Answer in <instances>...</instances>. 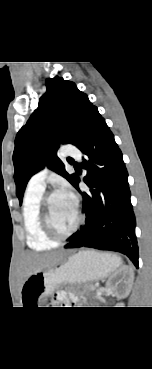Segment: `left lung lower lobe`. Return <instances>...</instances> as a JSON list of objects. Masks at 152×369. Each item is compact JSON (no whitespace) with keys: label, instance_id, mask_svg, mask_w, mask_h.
<instances>
[{"label":"left lung lower lobe","instance_id":"0a47b994","mask_svg":"<svg viewBox=\"0 0 152 369\" xmlns=\"http://www.w3.org/2000/svg\"><path fill=\"white\" fill-rule=\"evenodd\" d=\"M85 155L84 182L90 188L79 189L77 176L73 186L83 196L85 225L71 237L65 248L91 247L125 254L138 267L135 215L130 202L128 173L114 136L98 110L91 116L76 145Z\"/></svg>","mask_w":152,"mask_h":369}]
</instances>
